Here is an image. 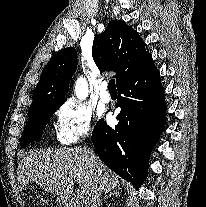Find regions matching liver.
<instances>
[{
  "instance_id": "6515ba94",
  "label": "liver",
  "mask_w": 206,
  "mask_h": 207,
  "mask_svg": "<svg viewBox=\"0 0 206 207\" xmlns=\"http://www.w3.org/2000/svg\"><path fill=\"white\" fill-rule=\"evenodd\" d=\"M17 176L21 188L36 182L63 204L72 198L76 181L87 204L98 190L106 194L119 188V177L84 148L35 150L20 161Z\"/></svg>"
}]
</instances>
